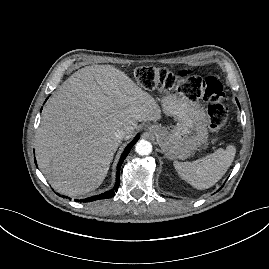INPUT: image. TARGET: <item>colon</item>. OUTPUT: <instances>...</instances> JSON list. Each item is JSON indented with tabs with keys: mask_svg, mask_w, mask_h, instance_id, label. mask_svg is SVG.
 I'll return each instance as SVG.
<instances>
[{
	"mask_svg": "<svg viewBox=\"0 0 269 269\" xmlns=\"http://www.w3.org/2000/svg\"><path fill=\"white\" fill-rule=\"evenodd\" d=\"M138 84L147 89L176 90L181 95L208 103L209 130L217 134L226 124L228 108L224 103V92L221 82L213 77H200L188 72L174 74L167 70L149 66L139 67L135 71Z\"/></svg>",
	"mask_w": 269,
	"mask_h": 269,
	"instance_id": "5ec220e1",
	"label": "colon"
}]
</instances>
